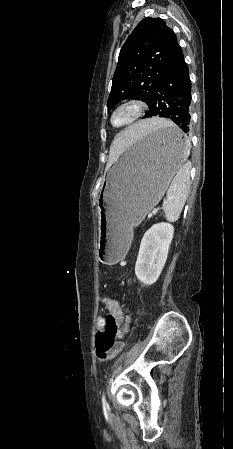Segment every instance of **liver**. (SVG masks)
I'll list each match as a JSON object with an SVG mask.
<instances>
[{
	"mask_svg": "<svg viewBox=\"0 0 233 449\" xmlns=\"http://www.w3.org/2000/svg\"><path fill=\"white\" fill-rule=\"evenodd\" d=\"M169 123V121L160 118L145 119L127 127L120 133H113L109 161L115 162L129 145L140 142V139L147 133Z\"/></svg>",
	"mask_w": 233,
	"mask_h": 449,
	"instance_id": "1",
	"label": "liver"
}]
</instances>
